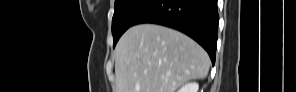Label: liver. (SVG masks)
<instances>
[{"instance_id": "obj_1", "label": "liver", "mask_w": 296, "mask_h": 92, "mask_svg": "<svg viewBox=\"0 0 296 92\" xmlns=\"http://www.w3.org/2000/svg\"><path fill=\"white\" fill-rule=\"evenodd\" d=\"M207 52L188 36L154 24L129 28L115 48L116 92H175L209 71Z\"/></svg>"}]
</instances>
